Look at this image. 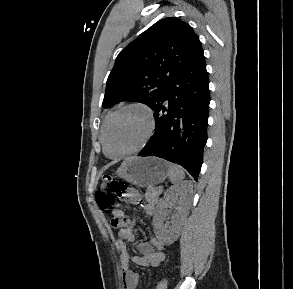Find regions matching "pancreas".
<instances>
[{"label":"pancreas","mask_w":293,"mask_h":289,"mask_svg":"<svg viewBox=\"0 0 293 289\" xmlns=\"http://www.w3.org/2000/svg\"><path fill=\"white\" fill-rule=\"evenodd\" d=\"M161 190H157L155 187H148L145 193V199L149 203L156 204L158 202L159 195L161 194Z\"/></svg>","instance_id":"cf45deb5"}]
</instances>
